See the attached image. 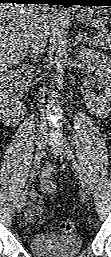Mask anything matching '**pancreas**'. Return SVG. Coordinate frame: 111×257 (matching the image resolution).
Wrapping results in <instances>:
<instances>
[{
  "instance_id": "obj_1",
  "label": "pancreas",
  "mask_w": 111,
  "mask_h": 257,
  "mask_svg": "<svg viewBox=\"0 0 111 257\" xmlns=\"http://www.w3.org/2000/svg\"><path fill=\"white\" fill-rule=\"evenodd\" d=\"M89 43L100 49H111V36H99L97 38H90Z\"/></svg>"
}]
</instances>
